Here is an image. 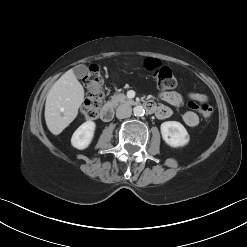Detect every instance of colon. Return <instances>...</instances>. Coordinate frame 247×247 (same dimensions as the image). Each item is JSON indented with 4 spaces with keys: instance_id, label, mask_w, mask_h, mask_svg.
Instances as JSON below:
<instances>
[{
    "instance_id": "5ec220e1",
    "label": "colon",
    "mask_w": 247,
    "mask_h": 247,
    "mask_svg": "<svg viewBox=\"0 0 247 247\" xmlns=\"http://www.w3.org/2000/svg\"><path fill=\"white\" fill-rule=\"evenodd\" d=\"M146 68L152 72L157 86L164 90H172L178 86V81L169 67L163 66L159 60L149 58L145 62ZM84 85L88 90L82 114L86 120H93L98 117L103 105L104 95L102 91L103 77L96 65H91L86 76L83 78ZM189 107L199 112L204 118L211 117L212 107L207 103H194Z\"/></svg>"
}]
</instances>
